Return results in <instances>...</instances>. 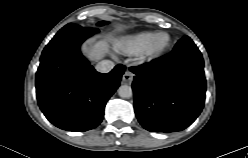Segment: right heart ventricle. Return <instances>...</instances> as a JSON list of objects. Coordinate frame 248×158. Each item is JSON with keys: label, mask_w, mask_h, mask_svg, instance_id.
<instances>
[{"label": "right heart ventricle", "mask_w": 248, "mask_h": 158, "mask_svg": "<svg viewBox=\"0 0 248 158\" xmlns=\"http://www.w3.org/2000/svg\"><path fill=\"white\" fill-rule=\"evenodd\" d=\"M153 34V32H140L124 37L118 41L117 48L124 54H140L145 50Z\"/></svg>", "instance_id": "e07e8e85"}]
</instances>
